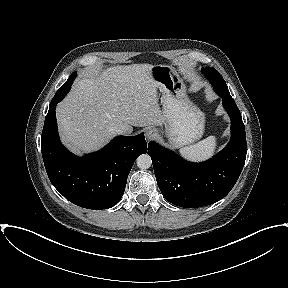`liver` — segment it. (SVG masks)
Here are the masks:
<instances>
[{"label": "liver", "mask_w": 288, "mask_h": 288, "mask_svg": "<svg viewBox=\"0 0 288 288\" xmlns=\"http://www.w3.org/2000/svg\"><path fill=\"white\" fill-rule=\"evenodd\" d=\"M151 64L113 66L75 82L56 114L62 142L74 153L107 144L124 128L161 126L165 119L157 98Z\"/></svg>", "instance_id": "liver-1"}]
</instances>
